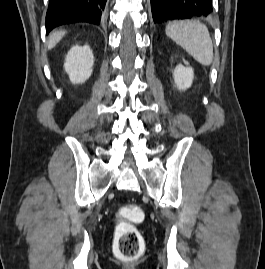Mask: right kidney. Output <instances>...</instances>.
Wrapping results in <instances>:
<instances>
[{"mask_svg":"<svg viewBox=\"0 0 265 269\" xmlns=\"http://www.w3.org/2000/svg\"><path fill=\"white\" fill-rule=\"evenodd\" d=\"M94 56L88 45L73 46L67 56L64 69L74 84L85 82L92 74Z\"/></svg>","mask_w":265,"mask_h":269,"instance_id":"1","label":"right kidney"}]
</instances>
